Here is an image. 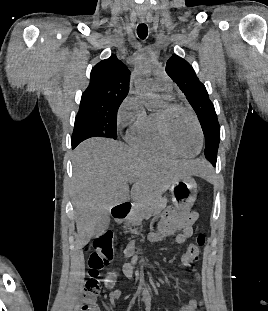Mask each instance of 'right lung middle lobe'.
Segmentation results:
<instances>
[{
	"mask_svg": "<svg viewBox=\"0 0 268 311\" xmlns=\"http://www.w3.org/2000/svg\"><path fill=\"white\" fill-rule=\"evenodd\" d=\"M121 103L99 98H81L71 140L83 141L98 136L116 139L117 112Z\"/></svg>",
	"mask_w": 268,
	"mask_h": 311,
	"instance_id": "obj_1",
	"label": "right lung middle lobe"
}]
</instances>
